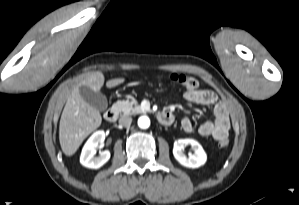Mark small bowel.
Listing matches in <instances>:
<instances>
[{
	"instance_id": "obj_1",
	"label": "small bowel",
	"mask_w": 299,
	"mask_h": 205,
	"mask_svg": "<svg viewBox=\"0 0 299 205\" xmlns=\"http://www.w3.org/2000/svg\"><path fill=\"white\" fill-rule=\"evenodd\" d=\"M184 98L199 105H213V120L202 123L198 128V133L202 137H212L219 141L229 134L230 121L226 106L218 100L217 95L211 90H187ZM181 127L186 133L194 130L192 121L184 118L181 121Z\"/></svg>"
}]
</instances>
